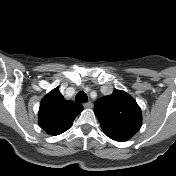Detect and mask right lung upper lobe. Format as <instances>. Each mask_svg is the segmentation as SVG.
Listing matches in <instances>:
<instances>
[{"instance_id": "right-lung-upper-lobe-1", "label": "right lung upper lobe", "mask_w": 176, "mask_h": 176, "mask_svg": "<svg viewBox=\"0 0 176 176\" xmlns=\"http://www.w3.org/2000/svg\"><path fill=\"white\" fill-rule=\"evenodd\" d=\"M82 110L81 104L65 100L57 87L41 100L39 125L50 135H59L70 127Z\"/></svg>"}]
</instances>
